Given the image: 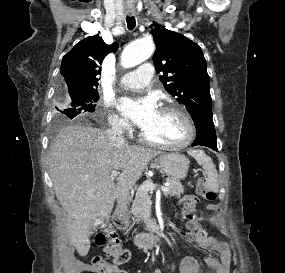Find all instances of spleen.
<instances>
[{"mask_svg": "<svg viewBox=\"0 0 285 273\" xmlns=\"http://www.w3.org/2000/svg\"><path fill=\"white\" fill-rule=\"evenodd\" d=\"M189 154L203 167L204 173L207 176V187L217 192L219 189L218 173L212 159L201 150H189Z\"/></svg>", "mask_w": 285, "mask_h": 273, "instance_id": "obj_1", "label": "spleen"}]
</instances>
